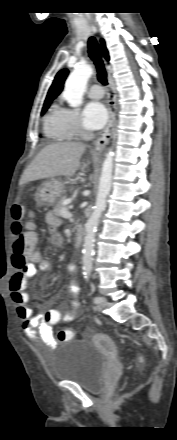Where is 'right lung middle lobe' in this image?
I'll return each mask as SVG.
<instances>
[{"label":"right lung middle lobe","instance_id":"obj_1","mask_svg":"<svg viewBox=\"0 0 177 440\" xmlns=\"http://www.w3.org/2000/svg\"><path fill=\"white\" fill-rule=\"evenodd\" d=\"M50 106V102L44 103L41 114L43 115Z\"/></svg>","mask_w":177,"mask_h":440}]
</instances>
